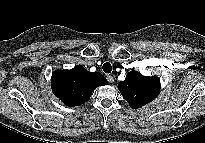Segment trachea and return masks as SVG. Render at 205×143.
<instances>
[{
  "instance_id": "1",
  "label": "trachea",
  "mask_w": 205,
  "mask_h": 143,
  "mask_svg": "<svg viewBox=\"0 0 205 143\" xmlns=\"http://www.w3.org/2000/svg\"><path fill=\"white\" fill-rule=\"evenodd\" d=\"M103 71L105 73H111L112 66H111V64L109 62H106V63L103 64Z\"/></svg>"
}]
</instances>
